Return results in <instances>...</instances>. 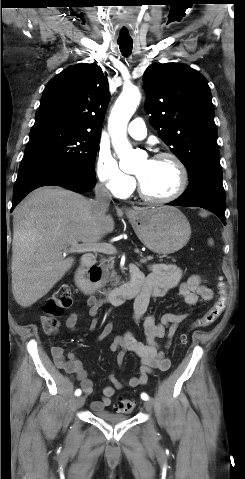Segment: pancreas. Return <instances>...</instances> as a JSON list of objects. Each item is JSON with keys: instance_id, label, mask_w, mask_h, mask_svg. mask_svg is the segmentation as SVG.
Segmentation results:
<instances>
[{"instance_id": "obj_1", "label": "pancreas", "mask_w": 245, "mask_h": 479, "mask_svg": "<svg viewBox=\"0 0 245 479\" xmlns=\"http://www.w3.org/2000/svg\"><path fill=\"white\" fill-rule=\"evenodd\" d=\"M150 259H151L150 257H147V258H142L140 261L142 263H146ZM99 266L103 271V277L96 284V286L99 289H102L104 292L107 293V292H109V289L107 291L104 289V287L107 284H110L113 287V286H117L119 281H120L119 276H117V273L114 270V258L113 257H109V258L102 257L100 259V265Z\"/></svg>"}]
</instances>
